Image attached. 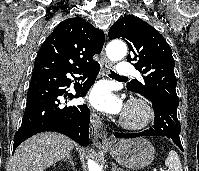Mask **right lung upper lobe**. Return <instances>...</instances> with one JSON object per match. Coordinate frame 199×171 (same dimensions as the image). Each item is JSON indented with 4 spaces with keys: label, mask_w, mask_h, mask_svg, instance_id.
<instances>
[{
    "label": "right lung upper lobe",
    "mask_w": 199,
    "mask_h": 171,
    "mask_svg": "<svg viewBox=\"0 0 199 171\" xmlns=\"http://www.w3.org/2000/svg\"><path fill=\"white\" fill-rule=\"evenodd\" d=\"M104 33L81 17L57 25L41 46L34 64L38 71H74L94 63L104 44Z\"/></svg>",
    "instance_id": "right-lung-upper-lobe-1"
}]
</instances>
